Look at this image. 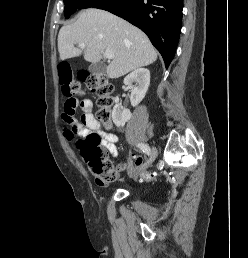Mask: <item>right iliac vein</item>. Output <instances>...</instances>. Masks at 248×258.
<instances>
[{
    "label": "right iliac vein",
    "instance_id": "right-iliac-vein-1",
    "mask_svg": "<svg viewBox=\"0 0 248 258\" xmlns=\"http://www.w3.org/2000/svg\"><path fill=\"white\" fill-rule=\"evenodd\" d=\"M157 157V149L155 147L152 148V154L149 158V160L146 162V164L144 165V167L140 170H138L137 172H135L132 176H137L139 175L141 172H143L146 168H148L156 159Z\"/></svg>",
    "mask_w": 248,
    "mask_h": 258
}]
</instances>
